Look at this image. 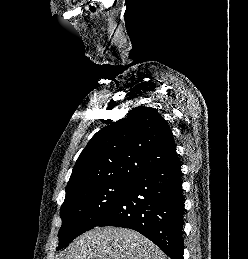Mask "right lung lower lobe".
<instances>
[{
	"label": "right lung lower lobe",
	"instance_id": "98d812e1",
	"mask_svg": "<svg viewBox=\"0 0 248 259\" xmlns=\"http://www.w3.org/2000/svg\"><path fill=\"white\" fill-rule=\"evenodd\" d=\"M181 174L177 159L140 175L97 226L136 230L171 259H183Z\"/></svg>",
	"mask_w": 248,
	"mask_h": 259
}]
</instances>
